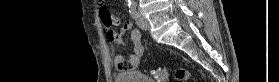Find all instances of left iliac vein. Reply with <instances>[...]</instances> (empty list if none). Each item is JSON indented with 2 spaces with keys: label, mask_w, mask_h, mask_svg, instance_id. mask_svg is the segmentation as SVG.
Masks as SVG:
<instances>
[{
  "label": "left iliac vein",
  "mask_w": 279,
  "mask_h": 82,
  "mask_svg": "<svg viewBox=\"0 0 279 82\" xmlns=\"http://www.w3.org/2000/svg\"><path fill=\"white\" fill-rule=\"evenodd\" d=\"M136 23L142 30H148L150 28L148 20L140 13H137Z\"/></svg>",
  "instance_id": "1"
}]
</instances>
